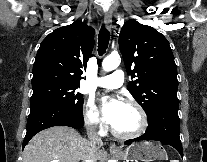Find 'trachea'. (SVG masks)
<instances>
[{"instance_id":"1","label":"trachea","mask_w":207,"mask_h":162,"mask_svg":"<svg viewBox=\"0 0 207 162\" xmlns=\"http://www.w3.org/2000/svg\"><path fill=\"white\" fill-rule=\"evenodd\" d=\"M109 32L104 26L101 27L99 35H98V52L99 55H103L106 52V49L109 44Z\"/></svg>"}]
</instances>
